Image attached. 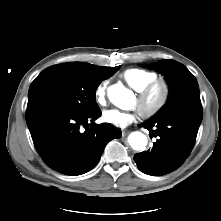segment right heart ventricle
<instances>
[{"label": "right heart ventricle", "mask_w": 221, "mask_h": 221, "mask_svg": "<svg viewBox=\"0 0 221 221\" xmlns=\"http://www.w3.org/2000/svg\"><path fill=\"white\" fill-rule=\"evenodd\" d=\"M121 78L133 90L139 91L145 85L155 80L157 78V74L153 71L142 68H131L124 71Z\"/></svg>", "instance_id": "obj_1"}]
</instances>
